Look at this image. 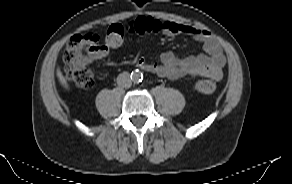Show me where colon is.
Wrapping results in <instances>:
<instances>
[{"instance_id": "1", "label": "colon", "mask_w": 292, "mask_h": 184, "mask_svg": "<svg viewBox=\"0 0 292 184\" xmlns=\"http://www.w3.org/2000/svg\"><path fill=\"white\" fill-rule=\"evenodd\" d=\"M141 34H152L159 31V25L151 19H143L138 24ZM125 37V28L120 24H112L104 42L94 33L75 35L69 41L63 55L65 74L76 86L90 88L94 84V74L88 67L89 62L110 48L119 47ZM196 89L203 94H211L216 90V84L209 79L196 83Z\"/></svg>"}]
</instances>
